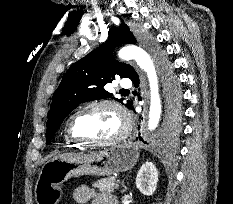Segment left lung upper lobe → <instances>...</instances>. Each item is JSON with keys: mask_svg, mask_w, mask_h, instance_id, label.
I'll use <instances>...</instances> for the list:
<instances>
[{"mask_svg": "<svg viewBox=\"0 0 233 204\" xmlns=\"http://www.w3.org/2000/svg\"><path fill=\"white\" fill-rule=\"evenodd\" d=\"M136 43L129 27L122 23L120 27L109 30L108 40L90 52L81 60L75 62L65 73L59 87L53 94L50 111L48 112L46 144H49L65 117L80 103L111 97L104 86L120 77L131 78L137 73L128 64L119 63L112 56V50L120 44ZM154 54L164 73L167 88V122L177 129L180 117V93L175 87L176 79L170 71V66L160 50ZM113 99L122 102V99ZM131 102L128 101V108Z\"/></svg>", "mask_w": 233, "mask_h": 204, "instance_id": "1", "label": "left lung upper lobe"}]
</instances>
